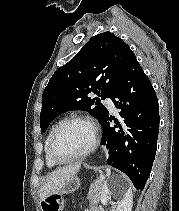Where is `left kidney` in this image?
<instances>
[{"label": "left kidney", "mask_w": 179, "mask_h": 211, "mask_svg": "<svg viewBox=\"0 0 179 211\" xmlns=\"http://www.w3.org/2000/svg\"><path fill=\"white\" fill-rule=\"evenodd\" d=\"M116 188V183L114 181H110L109 183H105L102 188L101 193V203L103 205H107L109 203L110 196L112 195V189ZM118 196L120 200L115 203L114 211H131L133 206V194L131 189L123 188Z\"/></svg>", "instance_id": "5707ae66"}]
</instances>
